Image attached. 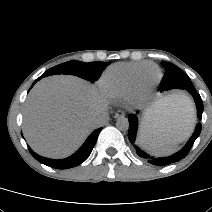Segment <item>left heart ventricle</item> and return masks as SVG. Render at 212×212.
Segmentation results:
<instances>
[{
    "label": "left heart ventricle",
    "instance_id": "left-heart-ventricle-1",
    "mask_svg": "<svg viewBox=\"0 0 212 212\" xmlns=\"http://www.w3.org/2000/svg\"><path fill=\"white\" fill-rule=\"evenodd\" d=\"M156 77V72L154 70H147L148 83L151 84Z\"/></svg>",
    "mask_w": 212,
    "mask_h": 212
}]
</instances>
